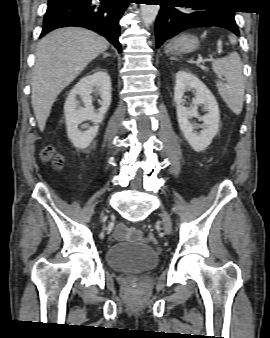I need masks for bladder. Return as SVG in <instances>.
Masks as SVG:
<instances>
[{
  "label": "bladder",
  "instance_id": "1",
  "mask_svg": "<svg viewBox=\"0 0 270 338\" xmlns=\"http://www.w3.org/2000/svg\"><path fill=\"white\" fill-rule=\"evenodd\" d=\"M159 261L157 250L142 242L110 245L107 250L109 267L120 273L144 272L153 269Z\"/></svg>",
  "mask_w": 270,
  "mask_h": 338
}]
</instances>
